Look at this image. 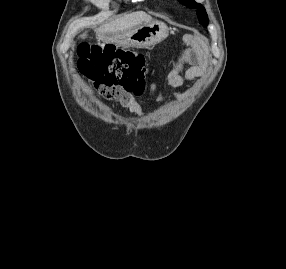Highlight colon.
I'll return each instance as SVG.
<instances>
[{"instance_id": "obj_1", "label": "colon", "mask_w": 286, "mask_h": 269, "mask_svg": "<svg viewBox=\"0 0 286 269\" xmlns=\"http://www.w3.org/2000/svg\"><path fill=\"white\" fill-rule=\"evenodd\" d=\"M78 69L111 98L117 88L137 91L145 84V59L131 48L83 42L78 46Z\"/></svg>"}]
</instances>
